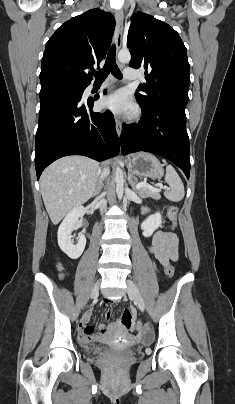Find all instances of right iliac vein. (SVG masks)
Instances as JSON below:
<instances>
[{"label":"right iliac vein","mask_w":235,"mask_h":404,"mask_svg":"<svg viewBox=\"0 0 235 404\" xmlns=\"http://www.w3.org/2000/svg\"><path fill=\"white\" fill-rule=\"evenodd\" d=\"M98 291H99V282H97L95 284V286L93 287V289H92L91 299H94V298H96L98 296Z\"/></svg>","instance_id":"1"}]
</instances>
